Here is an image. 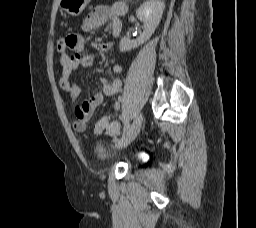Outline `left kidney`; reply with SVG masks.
I'll use <instances>...</instances> for the list:
<instances>
[{"label":"left kidney","instance_id":"5707ae66","mask_svg":"<svg viewBox=\"0 0 256 228\" xmlns=\"http://www.w3.org/2000/svg\"><path fill=\"white\" fill-rule=\"evenodd\" d=\"M164 9L165 3L161 0H149L144 2L136 11L138 19L144 24V31L135 40L123 37L119 44L120 51H130L146 42L159 25Z\"/></svg>","mask_w":256,"mask_h":228}]
</instances>
